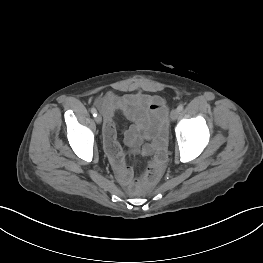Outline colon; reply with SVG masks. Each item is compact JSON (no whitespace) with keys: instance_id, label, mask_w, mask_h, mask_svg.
<instances>
[{"instance_id":"1","label":"colon","mask_w":263,"mask_h":263,"mask_svg":"<svg viewBox=\"0 0 263 263\" xmlns=\"http://www.w3.org/2000/svg\"><path fill=\"white\" fill-rule=\"evenodd\" d=\"M160 171H161V168L160 167H157V166H149L145 176L139 180L135 187L133 188V190H138L140 189L141 187L145 186V185H148L150 183H153L155 182L159 175H160Z\"/></svg>"}]
</instances>
